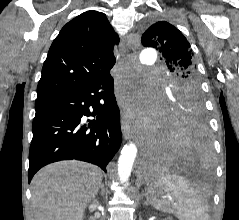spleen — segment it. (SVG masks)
Listing matches in <instances>:
<instances>
[{
    "mask_svg": "<svg viewBox=\"0 0 239 220\" xmlns=\"http://www.w3.org/2000/svg\"><path fill=\"white\" fill-rule=\"evenodd\" d=\"M149 186L163 188L175 202L157 200L152 197V205L160 211L173 213L179 220H208V206L190 183L177 174H166Z\"/></svg>",
    "mask_w": 239,
    "mask_h": 220,
    "instance_id": "1",
    "label": "spleen"
}]
</instances>
